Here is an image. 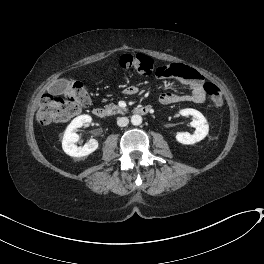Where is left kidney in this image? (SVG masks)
<instances>
[{
	"label": "left kidney",
	"mask_w": 264,
	"mask_h": 264,
	"mask_svg": "<svg viewBox=\"0 0 264 264\" xmlns=\"http://www.w3.org/2000/svg\"><path fill=\"white\" fill-rule=\"evenodd\" d=\"M180 114L182 116H192L193 120L190 123L192 127L195 128V131L193 134H190L188 132H179L176 134V140L182 144H195L196 142H199L203 140L208 132H209V125L207 123L206 118L202 115L201 112L198 110L187 108L182 109L180 111Z\"/></svg>",
	"instance_id": "5707ae66"
}]
</instances>
